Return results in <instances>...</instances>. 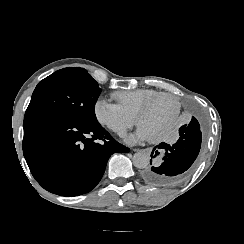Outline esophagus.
Listing matches in <instances>:
<instances>
[{"instance_id":"obj_1","label":"esophagus","mask_w":244,"mask_h":244,"mask_svg":"<svg viewBox=\"0 0 244 244\" xmlns=\"http://www.w3.org/2000/svg\"><path fill=\"white\" fill-rule=\"evenodd\" d=\"M135 152H144L146 154H149L151 152V148H142V149H133Z\"/></svg>"}]
</instances>
